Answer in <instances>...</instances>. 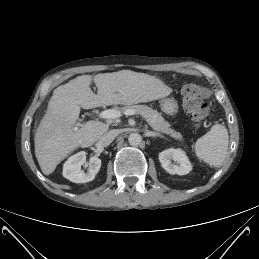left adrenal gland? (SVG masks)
I'll list each match as a JSON object with an SVG mask.
<instances>
[{
	"instance_id": "obj_1",
	"label": "left adrenal gland",
	"mask_w": 259,
	"mask_h": 259,
	"mask_svg": "<svg viewBox=\"0 0 259 259\" xmlns=\"http://www.w3.org/2000/svg\"><path fill=\"white\" fill-rule=\"evenodd\" d=\"M157 137H160V138H164L162 135H160L159 133H156L155 134Z\"/></svg>"
}]
</instances>
